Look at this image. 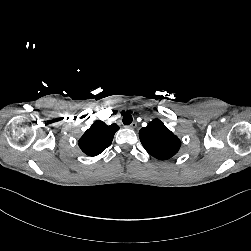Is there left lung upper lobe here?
<instances>
[{"mask_svg":"<svg viewBox=\"0 0 251 251\" xmlns=\"http://www.w3.org/2000/svg\"><path fill=\"white\" fill-rule=\"evenodd\" d=\"M139 137L146 151L161 160L173 157L181 142L159 119H154L147 127L141 128Z\"/></svg>","mask_w":251,"mask_h":251,"instance_id":"obj_1","label":"left lung upper lobe"}]
</instances>
